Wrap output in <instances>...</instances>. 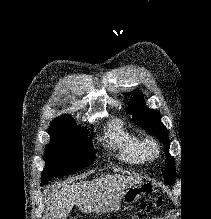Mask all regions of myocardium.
Masks as SVG:
<instances>
[{"mask_svg": "<svg viewBox=\"0 0 211 219\" xmlns=\"http://www.w3.org/2000/svg\"><path fill=\"white\" fill-rule=\"evenodd\" d=\"M141 150L146 159L156 160L160 156L161 146L155 138L146 137L141 141Z\"/></svg>", "mask_w": 211, "mask_h": 219, "instance_id": "f54148a6", "label": "myocardium"}]
</instances>
